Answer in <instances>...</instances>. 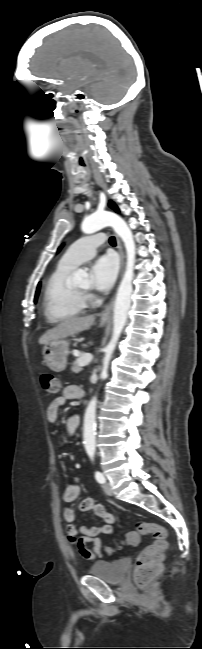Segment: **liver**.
Listing matches in <instances>:
<instances>
[{
    "mask_svg": "<svg viewBox=\"0 0 202 649\" xmlns=\"http://www.w3.org/2000/svg\"><path fill=\"white\" fill-rule=\"evenodd\" d=\"M95 317L93 315L86 317H77L64 320L56 325L54 328L48 330L39 338V344L45 345L46 343L65 338L67 336L88 330L94 323Z\"/></svg>",
    "mask_w": 202,
    "mask_h": 649,
    "instance_id": "6515ba94",
    "label": "liver"
}]
</instances>
